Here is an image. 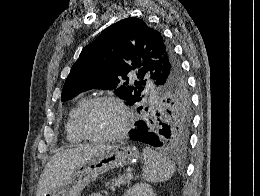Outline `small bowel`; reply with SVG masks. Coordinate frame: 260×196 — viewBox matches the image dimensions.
I'll use <instances>...</instances> for the list:
<instances>
[{"mask_svg": "<svg viewBox=\"0 0 260 196\" xmlns=\"http://www.w3.org/2000/svg\"><path fill=\"white\" fill-rule=\"evenodd\" d=\"M90 196H101L100 193H91Z\"/></svg>", "mask_w": 260, "mask_h": 196, "instance_id": "1", "label": "small bowel"}]
</instances>
